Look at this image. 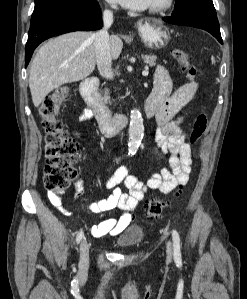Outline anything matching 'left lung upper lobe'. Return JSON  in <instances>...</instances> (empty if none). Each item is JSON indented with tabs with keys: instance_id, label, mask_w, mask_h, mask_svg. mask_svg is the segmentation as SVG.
<instances>
[{
	"instance_id": "left-lung-upper-lobe-1",
	"label": "left lung upper lobe",
	"mask_w": 247,
	"mask_h": 299,
	"mask_svg": "<svg viewBox=\"0 0 247 299\" xmlns=\"http://www.w3.org/2000/svg\"><path fill=\"white\" fill-rule=\"evenodd\" d=\"M189 9H199L216 15L212 0H176L172 15L179 14Z\"/></svg>"
}]
</instances>
